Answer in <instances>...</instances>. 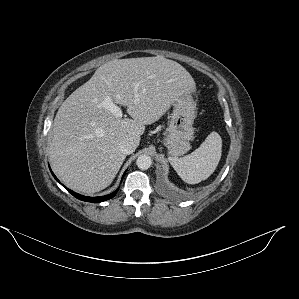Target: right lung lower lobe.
<instances>
[{
  "mask_svg": "<svg viewBox=\"0 0 299 299\" xmlns=\"http://www.w3.org/2000/svg\"><path fill=\"white\" fill-rule=\"evenodd\" d=\"M52 175L54 176V178L59 182V180L56 178V176L53 174L52 172ZM66 188V187H65ZM74 197H76L77 199H80L82 201H87V202H94V203H97V202H102V201H105V200H108L112 197H114L117 193V191L109 194V195H106V196H102V197H88V196H83V195H80V194H77L73 191H71L70 189L66 188Z\"/></svg>",
  "mask_w": 299,
  "mask_h": 299,
  "instance_id": "obj_1",
  "label": "right lung lower lobe"
}]
</instances>
